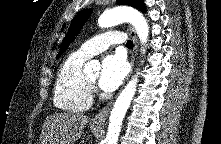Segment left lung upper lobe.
Returning <instances> with one entry per match:
<instances>
[{
	"instance_id": "1",
	"label": "left lung upper lobe",
	"mask_w": 221,
	"mask_h": 144,
	"mask_svg": "<svg viewBox=\"0 0 221 144\" xmlns=\"http://www.w3.org/2000/svg\"><path fill=\"white\" fill-rule=\"evenodd\" d=\"M117 3L120 5H129L143 12H146V7H145L143 0H117ZM91 12H92L91 8L84 9L75 16V18L73 19L70 25L68 33L65 36L64 41L62 42L57 58L61 56V54L69 47V44L78 35L83 25L87 21L88 17L90 16Z\"/></svg>"
}]
</instances>
